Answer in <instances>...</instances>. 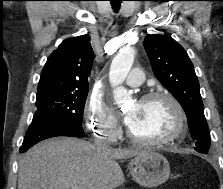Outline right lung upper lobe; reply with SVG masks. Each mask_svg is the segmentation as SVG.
Listing matches in <instances>:
<instances>
[{"label": "right lung upper lobe", "instance_id": "1", "mask_svg": "<svg viewBox=\"0 0 223 189\" xmlns=\"http://www.w3.org/2000/svg\"><path fill=\"white\" fill-rule=\"evenodd\" d=\"M94 57L90 36L65 39L41 71L37 93L88 89Z\"/></svg>", "mask_w": 223, "mask_h": 189}]
</instances>
